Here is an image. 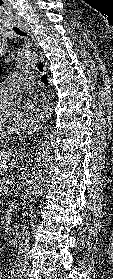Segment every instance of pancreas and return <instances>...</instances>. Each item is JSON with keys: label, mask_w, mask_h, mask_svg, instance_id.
I'll return each instance as SVG.
<instances>
[{"label": "pancreas", "mask_w": 113, "mask_h": 279, "mask_svg": "<svg viewBox=\"0 0 113 279\" xmlns=\"http://www.w3.org/2000/svg\"><path fill=\"white\" fill-rule=\"evenodd\" d=\"M0 197L6 194V191L9 187V179L4 178L3 180H0Z\"/></svg>", "instance_id": "pancreas-1"}]
</instances>
